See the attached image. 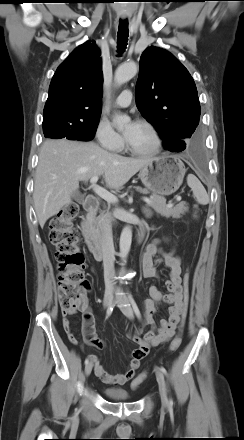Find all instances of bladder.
Here are the masks:
<instances>
[{
    "mask_svg": "<svg viewBox=\"0 0 244 440\" xmlns=\"http://www.w3.org/2000/svg\"><path fill=\"white\" fill-rule=\"evenodd\" d=\"M103 394L106 398L115 402L129 401L131 398L130 394L125 390L105 389Z\"/></svg>",
    "mask_w": 244,
    "mask_h": 440,
    "instance_id": "bladder-1",
    "label": "bladder"
}]
</instances>
